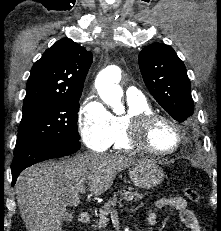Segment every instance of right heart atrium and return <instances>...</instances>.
<instances>
[{"instance_id":"right-heart-atrium-1","label":"right heart atrium","mask_w":221,"mask_h":231,"mask_svg":"<svg viewBox=\"0 0 221 231\" xmlns=\"http://www.w3.org/2000/svg\"><path fill=\"white\" fill-rule=\"evenodd\" d=\"M114 116L95 96L87 97L78 114V127L83 143L91 150H106L113 138Z\"/></svg>"}]
</instances>
